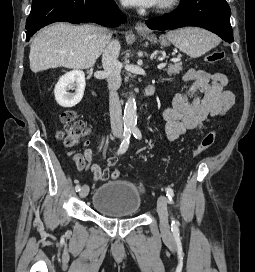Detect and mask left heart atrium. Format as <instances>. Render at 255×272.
<instances>
[{
    "label": "left heart atrium",
    "mask_w": 255,
    "mask_h": 272,
    "mask_svg": "<svg viewBox=\"0 0 255 272\" xmlns=\"http://www.w3.org/2000/svg\"><path fill=\"white\" fill-rule=\"evenodd\" d=\"M125 2L139 7H153L155 6L160 0H124Z\"/></svg>",
    "instance_id": "obj_1"
}]
</instances>
